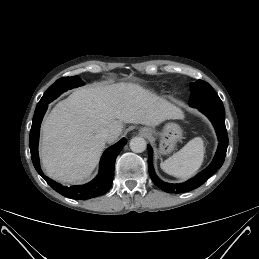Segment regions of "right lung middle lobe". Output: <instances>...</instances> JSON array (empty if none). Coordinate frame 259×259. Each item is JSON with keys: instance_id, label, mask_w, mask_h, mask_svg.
<instances>
[{"instance_id": "obj_1", "label": "right lung middle lobe", "mask_w": 259, "mask_h": 259, "mask_svg": "<svg viewBox=\"0 0 259 259\" xmlns=\"http://www.w3.org/2000/svg\"><path fill=\"white\" fill-rule=\"evenodd\" d=\"M83 85V82L76 76L63 77L52 84L42 96L37 107L49 104L64 91Z\"/></svg>"}]
</instances>
